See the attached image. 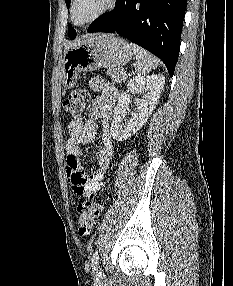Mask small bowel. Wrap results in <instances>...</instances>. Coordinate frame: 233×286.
<instances>
[{
    "mask_svg": "<svg viewBox=\"0 0 233 286\" xmlns=\"http://www.w3.org/2000/svg\"><path fill=\"white\" fill-rule=\"evenodd\" d=\"M89 88L97 96L93 101L87 120L76 119L68 126L66 140V171L73 192L80 197H93L104 185L109 169L113 144L109 133L108 120L113 114L118 91L101 78H92ZM102 121V147L96 154V168L87 172L82 160V147L93 142L97 134V123Z\"/></svg>",
    "mask_w": 233,
    "mask_h": 286,
    "instance_id": "c3829d8e",
    "label": "small bowel"
}]
</instances>
